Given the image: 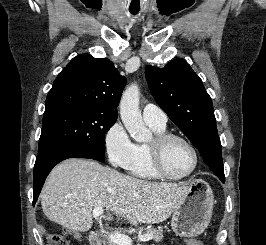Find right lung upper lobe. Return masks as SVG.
<instances>
[{
    "label": "right lung upper lobe",
    "mask_w": 266,
    "mask_h": 245,
    "mask_svg": "<svg viewBox=\"0 0 266 245\" xmlns=\"http://www.w3.org/2000/svg\"><path fill=\"white\" fill-rule=\"evenodd\" d=\"M126 79L106 58L80 54L57 76L49 91L44 117L76 108H92L118 115Z\"/></svg>",
    "instance_id": "cb5924a9"
}]
</instances>
